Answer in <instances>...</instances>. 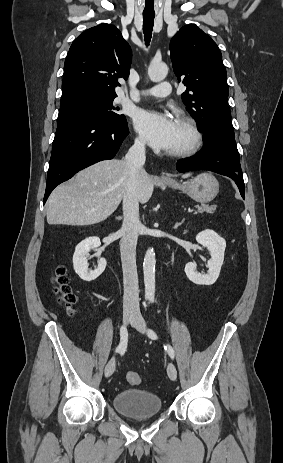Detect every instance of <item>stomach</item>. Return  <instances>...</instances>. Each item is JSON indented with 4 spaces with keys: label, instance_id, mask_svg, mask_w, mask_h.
<instances>
[{
    "label": "stomach",
    "instance_id": "obj_1",
    "mask_svg": "<svg viewBox=\"0 0 283 463\" xmlns=\"http://www.w3.org/2000/svg\"><path fill=\"white\" fill-rule=\"evenodd\" d=\"M170 188L178 189L200 203L212 201L219 192V183L210 173H201L184 183L164 182Z\"/></svg>",
    "mask_w": 283,
    "mask_h": 463
}]
</instances>
